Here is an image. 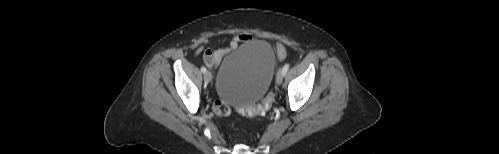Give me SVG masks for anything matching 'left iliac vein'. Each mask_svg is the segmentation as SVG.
Here are the masks:
<instances>
[{
    "instance_id": "left-iliac-vein-1",
    "label": "left iliac vein",
    "mask_w": 499,
    "mask_h": 154,
    "mask_svg": "<svg viewBox=\"0 0 499 154\" xmlns=\"http://www.w3.org/2000/svg\"><path fill=\"white\" fill-rule=\"evenodd\" d=\"M283 77H284V75H283L282 70H279V71L277 72V75H276V83H277L278 85H281V83H282V81H283Z\"/></svg>"
}]
</instances>
